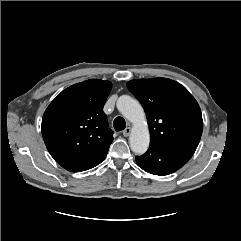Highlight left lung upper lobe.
I'll return each mask as SVG.
<instances>
[{"mask_svg":"<svg viewBox=\"0 0 241 241\" xmlns=\"http://www.w3.org/2000/svg\"><path fill=\"white\" fill-rule=\"evenodd\" d=\"M127 87L145 110L150 142L197 148L203 130L202 114L184 86L158 77L131 80Z\"/></svg>","mask_w":241,"mask_h":241,"instance_id":"1","label":"left lung upper lobe"}]
</instances>
